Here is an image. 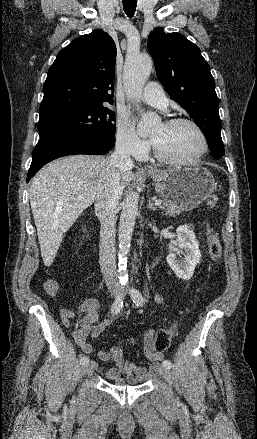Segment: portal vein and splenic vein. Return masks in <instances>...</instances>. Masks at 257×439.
Returning a JSON list of instances; mask_svg holds the SVG:
<instances>
[{
    "label": "portal vein and splenic vein",
    "mask_w": 257,
    "mask_h": 439,
    "mask_svg": "<svg viewBox=\"0 0 257 439\" xmlns=\"http://www.w3.org/2000/svg\"><path fill=\"white\" fill-rule=\"evenodd\" d=\"M77 199H78V200H81V199H83V197L79 196V197H77ZM161 204H162V201H161V200H155V205L159 206V205H161Z\"/></svg>",
    "instance_id": "18ae733b"
}]
</instances>
